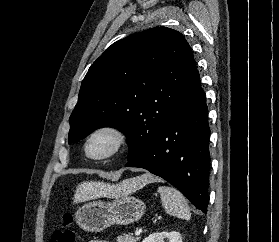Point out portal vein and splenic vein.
<instances>
[{"mask_svg": "<svg viewBox=\"0 0 279 242\" xmlns=\"http://www.w3.org/2000/svg\"><path fill=\"white\" fill-rule=\"evenodd\" d=\"M141 233H142V229H137V230L135 231V235H136V236H140Z\"/></svg>", "mask_w": 279, "mask_h": 242, "instance_id": "obj_1", "label": "portal vein and splenic vein"}]
</instances>
